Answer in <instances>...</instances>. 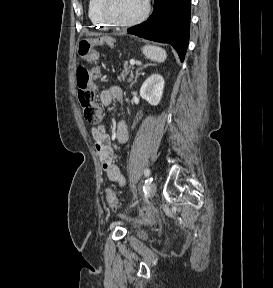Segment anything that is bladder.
<instances>
[{
	"mask_svg": "<svg viewBox=\"0 0 273 288\" xmlns=\"http://www.w3.org/2000/svg\"><path fill=\"white\" fill-rule=\"evenodd\" d=\"M136 236L142 240H145L147 238V233L143 230H139L136 232Z\"/></svg>",
	"mask_w": 273,
	"mask_h": 288,
	"instance_id": "1",
	"label": "bladder"
}]
</instances>
